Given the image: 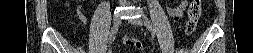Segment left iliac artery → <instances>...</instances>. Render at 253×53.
I'll return each instance as SVG.
<instances>
[{"instance_id": "1", "label": "left iliac artery", "mask_w": 253, "mask_h": 53, "mask_svg": "<svg viewBox=\"0 0 253 53\" xmlns=\"http://www.w3.org/2000/svg\"><path fill=\"white\" fill-rule=\"evenodd\" d=\"M142 18H143V21H144L145 25L147 26V28L151 31V36L153 37L152 42L156 43L158 36L154 32L151 21L145 15H143Z\"/></svg>"}]
</instances>
